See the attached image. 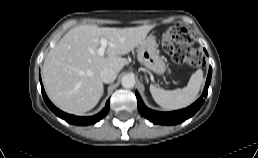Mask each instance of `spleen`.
<instances>
[{"label":"spleen","mask_w":258,"mask_h":158,"mask_svg":"<svg viewBox=\"0 0 258 158\" xmlns=\"http://www.w3.org/2000/svg\"><path fill=\"white\" fill-rule=\"evenodd\" d=\"M203 81V71L198 69L190 77L186 87L172 91H166L150 86V92L155 102L167 110H177L192 104L197 97Z\"/></svg>","instance_id":"obj_1"}]
</instances>
